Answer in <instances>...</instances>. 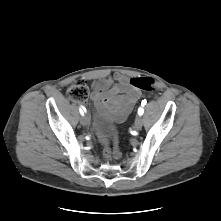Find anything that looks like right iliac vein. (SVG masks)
<instances>
[{
	"instance_id": "right-iliac-vein-1",
	"label": "right iliac vein",
	"mask_w": 221,
	"mask_h": 221,
	"mask_svg": "<svg viewBox=\"0 0 221 221\" xmlns=\"http://www.w3.org/2000/svg\"><path fill=\"white\" fill-rule=\"evenodd\" d=\"M90 122V119L88 117V115H83L81 118H80V123L83 125V126H87Z\"/></svg>"
}]
</instances>
